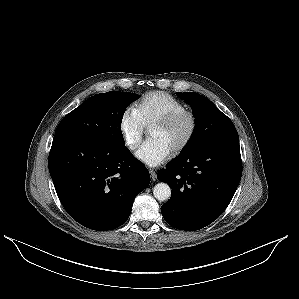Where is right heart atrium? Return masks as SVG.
<instances>
[{
    "instance_id": "obj_1",
    "label": "right heart atrium",
    "mask_w": 299,
    "mask_h": 299,
    "mask_svg": "<svg viewBox=\"0 0 299 299\" xmlns=\"http://www.w3.org/2000/svg\"><path fill=\"white\" fill-rule=\"evenodd\" d=\"M119 129L126 147L135 150L143 139L146 127L136 109L129 107L121 115Z\"/></svg>"
}]
</instances>
